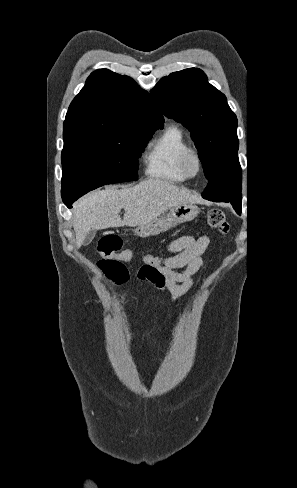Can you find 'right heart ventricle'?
I'll return each mask as SVG.
<instances>
[{"mask_svg": "<svg viewBox=\"0 0 297 488\" xmlns=\"http://www.w3.org/2000/svg\"><path fill=\"white\" fill-rule=\"evenodd\" d=\"M190 143L183 130L171 124L153 138L144 153L145 173L150 178L166 182L181 183L188 178L180 167V159Z\"/></svg>", "mask_w": 297, "mask_h": 488, "instance_id": "right-heart-ventricle-1", "label": "right heart ventricle"}]
</instances>
